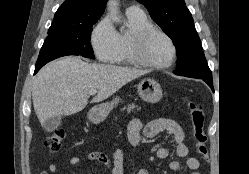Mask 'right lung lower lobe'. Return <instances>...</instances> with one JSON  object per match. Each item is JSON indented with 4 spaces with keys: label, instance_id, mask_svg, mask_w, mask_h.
<instances>
[{
    "label": "right lung lower lobe",
    "instance_id": "right-lung-lower-lobe-1",
    "mask_svg": "<svg viewBox=\"0 0 249 174\" xmlns=\"http://www.w3.org/2000/svg\"><path fill=\"white\" fill-rule=\"evenodd\" d=\"M41 67H35V73H37L39 71Z\"/></svg>",
    "mask_w": 249,
    "mask_h": 174
}]
</instances>
